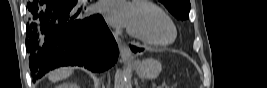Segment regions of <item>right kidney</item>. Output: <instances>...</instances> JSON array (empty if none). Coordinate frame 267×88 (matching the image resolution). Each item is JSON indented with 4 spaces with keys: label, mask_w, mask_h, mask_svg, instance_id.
Returning a JSON list of instances; mask_svg holds the SVG:
<instances>
[{
    "label": "right kidney",
    "mask_w": 267,
    "mask_h": 88,
    "mask_svg": "<svg viewBox=\"0 0 267 88\" xmlns=\"http://www.w3.org/2000/svg\"><path fill=\"white\" fill-rule=\"evenodd\" d=\"M58 88H79V86L76 83L66 82L59 85Z\"/></svg>",
    "instance_id": "right-kidney-1"
}]
</instances>
